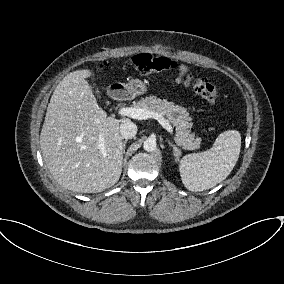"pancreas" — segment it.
Listing matches in <instances>:
<instances>
[{
    "label": "pancreas",
    "mask_w": 284,
    "mask_h": 284,
    "mask_svg": "<svg viewBox=\"0 0 284 284\" xmlns=\"http://www.w3.org/2000/svg\"><path fill=\"white\" fill-rule=\"evenodd\" d=\"M135 107L166 116L176 128L177 143L184 149L196 150L201 147V138L195 137V134L191 133V117L185 108L156 96L142 98L135 104Z\"/></svg>",
    "instance_id": "obj_1"
}]
</instances>
